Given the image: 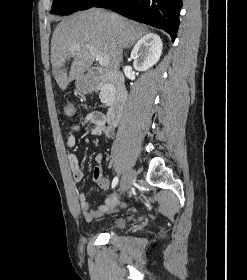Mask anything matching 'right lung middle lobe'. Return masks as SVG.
I'll return each instance as SVG.
<instances>
[{
  "mask_svg": "<svg viewBox=\"0 0 247 280\" xmlns=\"http://www.w3.org/2000/svg\"><path fill=\"white\" fill-rule=\"evenodd\" d=\"M101 0H54L51 13L56 15H69L79 10L95 6Z\"/></svg>",
  "mask_w": 247,
  "mask_h": 280,
  "instance_id": "1",
  "label": "right lung middle lobe"
}]
</instances>
